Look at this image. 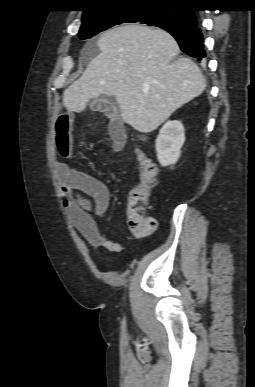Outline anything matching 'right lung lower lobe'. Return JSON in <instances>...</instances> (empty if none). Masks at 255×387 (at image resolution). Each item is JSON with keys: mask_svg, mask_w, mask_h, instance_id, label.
<instances>
[{"mask_svg": "<svg viewBox=\"0 0 255 387\" xmlns=\"http://www.w3.org/2000/svg\"><path fill=\"white\" fill-rule=\"evenodd\" d=\"M183 16L189 20L184 25L162 26L160 28L169 32L179 43L183 52L204 61L206 53L204 50V39L198 22L197 14L189 8L181 9Z\"/></svg>", "mask_w": 255, "mask_h": 387, "instance_id": "obj_1", "label": "right lung lower lobe"}]
</instances>
